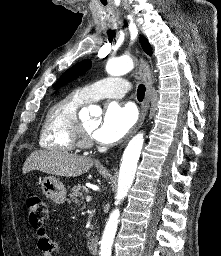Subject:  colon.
Masks as SVG:
<instances>
[{
	"mask_svg": "<svg viewBox=\"0 0 221 256\" xmlns=\"http://www.w3.org/2000/svg\"><path fill=\"white\" fill-rule=\"evenodd\" d=\"M26 208L30 225L37 231L44 230L48 219V206L36 193H29L26 198Z\"/></svg>",
	"mask_w": 221,
	"mask_h": 256,
	"instance_id": "1",
	"label": "colon"
}]
</instances>
